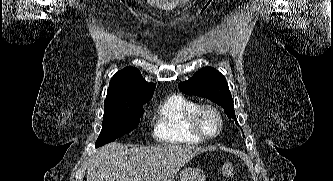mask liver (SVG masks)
Here are the masks:
<instances>
[{"mask_svg":"<svg viewBox=\"0 0 333 181\" xmlns=\"http://www.w3.org/2000/svg\"><path fill=\"white\" fill-rule=\"evenodd\" d=\"M205 151L192 145L109 143L90 158L87 181H172L187 162Z\"/></svg>","mask_w":333,"mask_h":181,"instance_id":"1","label":"liver"}]
</instances>
